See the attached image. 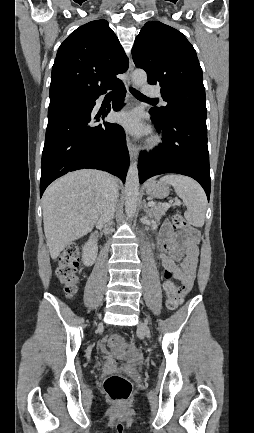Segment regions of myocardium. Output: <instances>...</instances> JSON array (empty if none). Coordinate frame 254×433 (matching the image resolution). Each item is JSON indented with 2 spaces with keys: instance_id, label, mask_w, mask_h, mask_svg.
<instances>
[{
  "instance_id": "f54148a6",
  "label": "myocardium",
  "mask_w": 254,
  "mask_h": 433,
  "mask_svg": "<svg viewBox=\"0 0 254 433\" xmlns=\"http://www.w3.org/2000/svg\"><path fill=\"white\" fill-rule=\"evenodd\" d=\"M158 142V139L157 138H152L151 139V144H156Z\"/></svg>"
}]
</instances>
